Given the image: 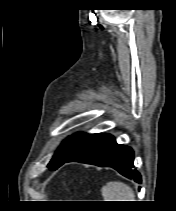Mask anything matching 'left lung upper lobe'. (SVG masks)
Instances as JSON below:
<instances>
[{
  "mask_svg": "<svg viewBox=\"0 0 176 211\" xmlns=\"http://www.w3.org/2000/svg\"><path fill=\"white\" fill-rule=\"evenodd\" d=\"M95 134L78 133L68 137L48 164L50 170H55L60 167L67 159L79 152L94 136Z\"/></svg>",
  "mask_w": 176,
  "mask_h": 211,
  "instance_id": "left-lung-upper-lobe-1",
  "label": "left lung upper lobe"
}]
</instances>
